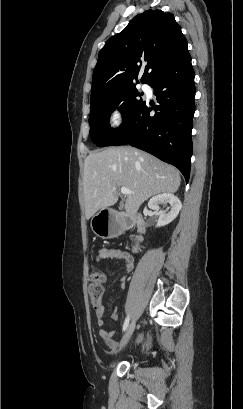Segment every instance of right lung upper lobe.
Returning a JSON list of instances; mask_svg holds the SVG:
<instances>
[{
    "label": "right lung upper lobe",
    "mask_w": 243,
    "mask_h": 409,
    "mask_svg": "<svg viewBox=\"0 0 243 409\" xmlns=\"http://www.w3.org/2000/svg\"><path fill=\"white\" fill-rule=\"evenodd\" d=\"M187 46L173 14L147 10L107 40L98 55L90 102L134 85L149 84ZM142 66H145L144 71Z\"/></svg>",
    "instance_id": "1"
}]
</instances>
